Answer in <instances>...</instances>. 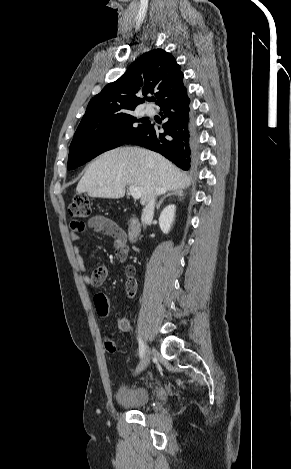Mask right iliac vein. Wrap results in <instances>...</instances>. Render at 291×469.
Here are the masks:
<instances>
[{
  "mask_svg": "<svg viewBox=\"0 0 291 469\" xmlns=\"http://www.w3.org/2000/svg\"><path fill=\"white\" fill-rule=\"evenodd\" d=\"M150 357H151V350H150L148 345H145V350H144V354L142 356V360H141L139 366L137 367V369L135 371V374L140 373L141 371H143L148 366V364L150 363Z\"/></svg>",
  "mask_w": 291,
  "mask_h": 469,
  "instance_id": "obj_1",
  "label": "right iliac vein"
}]
</instances>
